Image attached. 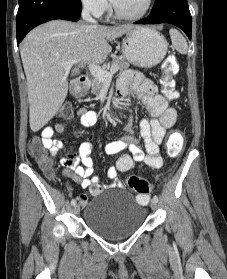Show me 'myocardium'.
<instances>
[{
  "instance_id": "f54148a6",
  "label": "myocardium",
  "mask_w": 227,
  "mask_h": 279,
  "mask_svg": "<svg viewBox=\"0 0 227 279\" xmlns=\"http://www.w3.org/2000/svg\"><path fill=\"white\" fill-rule=\"evenodd\" d=\"M152 2L153 0H146L144 8L137 14H124L122 13L117 6L112 2V10L114 15L119 19H125V20H138L146 16L149 11L152 8Z\"/></svg>"
}]
</instances>
